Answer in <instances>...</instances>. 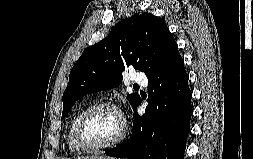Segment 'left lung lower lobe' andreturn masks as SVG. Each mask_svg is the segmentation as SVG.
Listing matches in <instances>:
<instances>
[{
  "label": "left lung lower lobe",
  "instance_id": "left-lung-lower-lobe-1",
  "mask_svg": "<svg viewBox=\"0 0 253 159\" xmlns=\"http://www.w3.org/2000/svg\"><path fill=\"white\" fill-rule=\"evenodd\" d=\"M179 51L158 72L148 77V102L140 116L134 107L130 138L106 154L129 159H184L190 131L192 93Z\"/></svg>",
  "mask_w": 253,
  "mask_h": 159
}]
</instances>
